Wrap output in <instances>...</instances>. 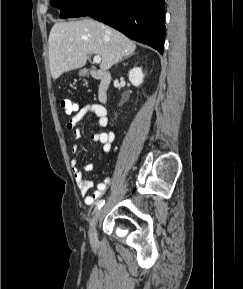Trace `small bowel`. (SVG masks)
Here are the masks:
<instances>
[{
	"label": "small bowel",
	"mask_w": 243,
	"mask_h": 289,
	"mask_svg": "<svg viewBox=\"0 0 243 289\" xmlns=\"http://www.w3.org/2000/svg\"><path fill=\"white\" fill-rule=\"evenodd\" d=\"M88 115H93L101 128L108 126V117L106 109L96 103H91L83 106L68 122L67 128L72 131L75 139L81 137L80 122ZM93 141L102 145V151L108 153L112 149V144L115 140V133L112 131L98 132L92 135ZM79 151L78 145H73L72 152L77 153ZM71 169L75 178L79 193L83 197L86 205H92L102 197L105 193L107 186L111 183V178H106L104 181L97 183L95 190L92 193L89 191L93 188V183L82 176V171L79 168L77 160H71ZM86 172L94 170V165L88 163L84 166Z\"/></svg>",
	"instance_id": "c3829d8e"
}]
</instances>
